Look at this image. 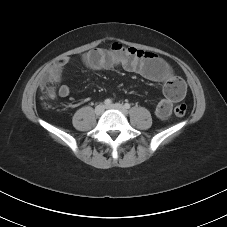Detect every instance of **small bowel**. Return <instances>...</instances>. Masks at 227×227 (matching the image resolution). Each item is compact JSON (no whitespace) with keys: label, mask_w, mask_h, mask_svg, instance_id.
Wrapping results in <instances>:
<instances>
[{"label":"small bowel","mask_w":227,"mask_h":227,"mask_svg":"<svg viewBox=\"0 0 227 227\" xmlns=\"http://www.w3.org/2000/svg\"><path fill=\"white\" fill-rule=\"evenodd\" d=\"M82 61L86 67L94 71L121 67L148 80L162 83L164 97L155 109L156 116L161 120L169 117L172 106L180 102L185 95L184 82L174 75L172 68L164 59L152 52L114 43L109 48H95L88 51L83 55ZM67 63L68 59H63L54 64L45 77L52 82H60ZM57 94L63 98L68 97L70 89L67 85H61Z\"/></svg>","instance_id":"small-bowel-1"}]
</instances>
